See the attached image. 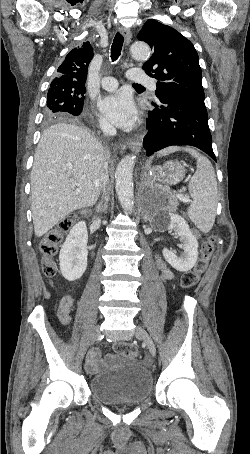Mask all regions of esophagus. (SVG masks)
<instances>
[{"mask_svg": "<svg viewBox=\"0 0 250 454\" xmlns=\"http://www.w3.org/2000/svg\"><path fill=\"white\" fill-rule=\"evenodd\" d=\"M119 30L125 38V43L128 45L131 42L132 34L130 33L129 30H127L123 27H121ZM141 146H142V143L140 141H129L128 142V147L136 153L140 152Z\"/></svg>", "mask_w": 250, "mask_h": 454, "instance_id": "esophagus-1", "label": "esophagus"}]
</instances>
